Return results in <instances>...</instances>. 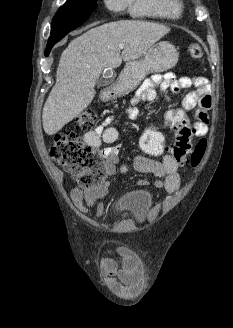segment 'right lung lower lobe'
Listing matches in <instances>:
<instances>
[{
  "label": "right lung lower lobe",
  "instance_id": "right-lung-lower-lobe-1",
  "mask_svg": "<svg viewBox=\"0 0 233 328\" xmlns=\"http://www.w3.org/2000/svg\"><path fill=\"white\" fill-rule=\"evenodd\" d=\"M86 19H59L53 20L51 25V36L49 38L45 56H48L50 50L60 39H62L68 32L72 31L81 25Z\"/></svg>",
  "mask_w": 233,
  "mask_h": 328
}]
</instances>
